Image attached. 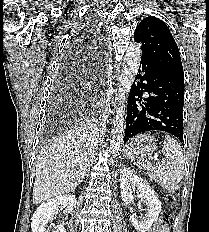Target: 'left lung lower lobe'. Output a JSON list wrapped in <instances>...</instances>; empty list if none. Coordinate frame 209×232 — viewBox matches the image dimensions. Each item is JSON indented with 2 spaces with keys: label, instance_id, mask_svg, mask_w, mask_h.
<instances>
[{
  "label": "left lung lower lobe",
  "instance_id": "left-lung-lower-lobe-1",
  "mask_svg": "<svg viewBox=\"0 0 209 232\" xmlns=\"http://www.w3.org/2000/svg\"><path fill=\"white\" fill-rule=\"evenodd\" d=\"M183 104L184 78L163 72L142 56L128 98L124 144L152 130L168 132L183 143Z\"/></svg>",
  "mask_w": 209,
  "mask_h": 232
}]
</instances>
